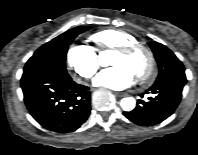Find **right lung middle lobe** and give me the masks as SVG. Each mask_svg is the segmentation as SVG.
Here are the masks:
<instances>
[{
  "instance_id": "1",
  "label": "right lung middle lobe",
  "mask_w": 198,
  "mask_h": 155,
  "mask_svg": "<svg viewBox=\"0 0 198 155\" xmlns=\"http://www.w3.org/2000/svg\"><path fill=\"white\" fill-rule=\"evenodd\" d=\"M89 29V26L75 27L44 44L27 61L24 71L43 70L69 77L65 68L69 45L78 34Z\"/></svg>"
}]
</instances>
